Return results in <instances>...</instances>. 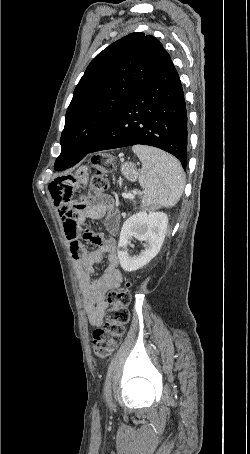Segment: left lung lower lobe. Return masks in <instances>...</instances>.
Returning <instances> with one entry per match:
<instances>
[{
	"label": "left lung lower lobe",
	"mask_w": 250,
	"mask_h": 454,
	"mask_svg": "<svg viewBox=\"0 0 250 454\" xmlns=\"http://www.w3.org/2000/svg\"><path fill=\"white\" fill-rule=\"evenodd\" d=\"M187 136L184 94L170 59L118 111L87 154L136 144L149 145L177 157L186 170ZM86 155H60L54 168L57 171L68 169Z\"/></svg>",
	"instance_id": "1"
}]
</instances>
